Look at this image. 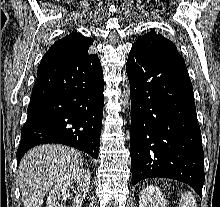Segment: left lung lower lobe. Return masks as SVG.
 Wrapping results in <instances>:
<instances>
[{"mask_svg":"<svg viewBox=\"0 0 220 207\" xmlns=\"http://www.w3.org/2000/svg\"><path fill=\"white\" fill-rule=\"evenodd\" d=\"M126 72L131 88L132 184L170 178L189 184L201 197L203 147L184 59L133 46Z\"/></svg>","mask_w":220,"mask_h":207,"instance_id":"obj_1","label":"left lung lower lobe"}]
</instances>
